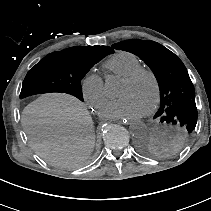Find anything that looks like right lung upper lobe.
<instances>
[{
    "label": "right lung upper lobe",
    "mask_w": 211,
    "mask_h": 211,
    "mask_svg": "<svg viewBox=\"0 0 211 211\" xmlns=\"http://www.w3.org/2000/svg\"><path fill=\"white\" fill-rule=\"evenodd\" d=\"M72 48L80 52H96V53H103L105 55L114 53V50L108 46H87V47L77 46Z\"/></svg>",
    "instance_id": "cb5924a9"
}]
</instances>
